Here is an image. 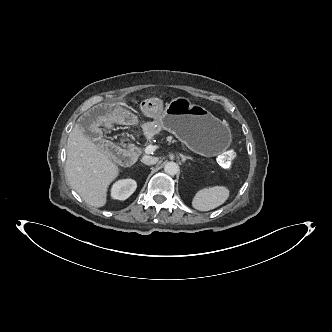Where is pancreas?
<instances>
[{"mask_svg": "<svg viewBox=\"0 0 332 332\" xmlns=\"http://www.w3.org/2000/svg\"><path fill=\"white\" fill-rule=\"evenodd\" d=\"M166 141L168 144L177 143V140H175L171 135L166 137Z\"/></svg>", "mask_w": 332, "mask_h": 332, "instance_id": "pancreas-1", "label": "pancreas"}]
</instances>
